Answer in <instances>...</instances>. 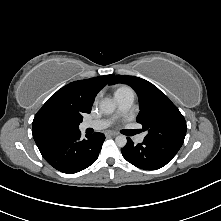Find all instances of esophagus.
I'll return each mask as SVG.
<instances>
[{
    "label": "esophagus",
    "mask_w": 221,
    "mask_h": 221,
    "mask_svg": "<svg viewBox=\"0 0 221 221\" xmlns=\"http://www.w3.org/2000/svg\"><path fill=\"white\" fill-rule=\"evenodd\" d=\"M106 135H110V136H117L118 134L116 132H107Z\"/></svg>",
    "instance_id": "obj_1"
}]
</instances>
